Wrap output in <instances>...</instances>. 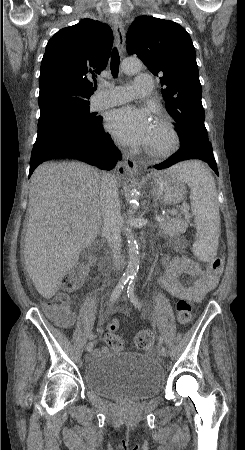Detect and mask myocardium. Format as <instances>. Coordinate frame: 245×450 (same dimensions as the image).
<instances>
[{
	"label": "myocardium",
	"mask_w": 245,
	"mask_h": 450,
	"mask_svg": "<svg viewBox=\"0 0 245 450\" xmlns=\"http://www.w3.org/2000/svg\"><path fill=\"white\" fill-rule=\"evenodd\" d=\"M156 126L163 140L152 143L147 148V153L153 157H164L175 152L180 146V135L174 123L165 116L156 120Z\"/></svg>",
	"instance_id": "f54148a6"
}]
</instances>
